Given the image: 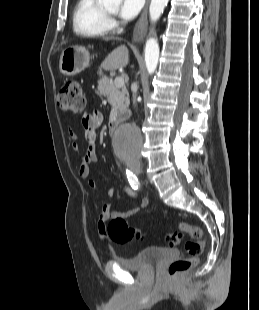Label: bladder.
Listing matches in <instances>:
<instances>
[{
	"label": "bladder",
	"mask_w": 259,
	"mask_h": 310,
	"mask_svg": "<svg viewBox=\"0 0 259 310\" xmlns=\"http://www.w3.org/2000/svg\"><path fill=\"white\" fill-rule=\"evenodd\" d=\"M178 256L176 250L171 248L147 247L133 257H119L117 262L128 270H140L152 268L161 262L174 259Z\"/></svg>",
	"instance_id": "bladder-1"
}]
</instances>
